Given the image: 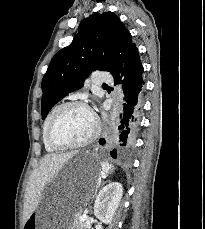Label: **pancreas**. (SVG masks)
Returning <instances> with one entry per match:
<instances>
[{
    "label": "pancreas",
    "mask_w": 205,
    "mask_h": 229,
    "mask_svg": "<svg viewBox=\"0 0 205 229\" xmlns=\"http://www.w3.org/2000/svg\"><path fill=\"white\" fill-rule=\"evenodd\" d=\"M79 216L80 214H78V216L74 220V224H73L74 229H85V224L84 222L79 220Z\"/></svg>",
    "instance_id": "obj_1"
}]
</instances>
